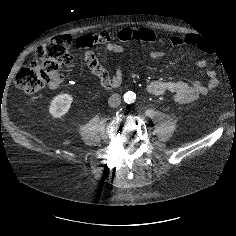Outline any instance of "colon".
<instances>
[{"label": "colon", "mask_w": 236, "mask_h": 236, "mask_svg": "<svg viewBox=\"0 0 236 236\" xmlns=\"http://www.w3.org/2000/svg\"><path fill=\"white\" fill-rule=\"evenodd\" d=\"M69 45L68 38L56 37L38 46L36 59L17 73L16 86L27 94H34L58 81L61 69L72 61Z\"/></svg>", "instance_id": "5ec220e1"}]
</instances>
